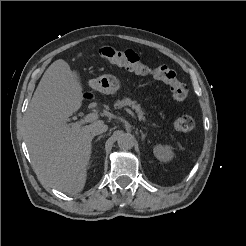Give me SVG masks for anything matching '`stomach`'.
<instances>
[{"instance_id":"1","label":"stomach","mask_w":246,"mask_h":246,"mask_svg":"<svg viewBox=\"0 0 246 246\" xmlns=\"http://www.w3.org/2000/svg\"><path fill=\"white\" fill-rule=\"evenodd\" d=\"M89 86L104 94H114L121 87V81L112 74H104L88 82Z\"/></svg>"}]
</instances>
